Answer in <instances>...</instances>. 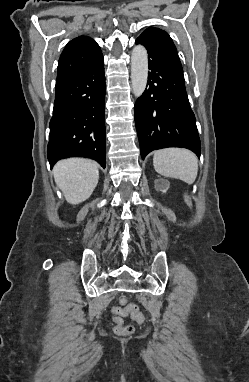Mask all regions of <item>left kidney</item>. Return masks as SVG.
Instances as JSON below:
<instances>
[{
    "label": "left kidney",
    "mask_w": 249,
    "mask_h": 382,
    "mask_svg": "<svg viewBox=\"0 0 249 382\" xmlns=\"http://www.w3.org/2000/svg\"><path fill=\"white\" fill-rule=\"evenodd\" d=\"M170 187V183L169 181L165 180V179H157L155 180V189L156 190H159L163 193H166L167 190L169 189Z\"/></svg>",
    "instance_id": "1"
}]
</instances>
